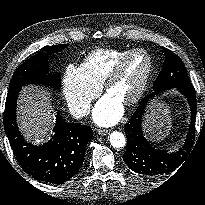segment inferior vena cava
<instances>
[{"instance_id": "1", "label": "inferior vena cava", "mask_w": 205, "mask_h": 205, "mask_svg": "<svg viewBox=\"0 0 205 205\" xmlns=\"http://www.w3.org/2000/svg\"><path fill=\"white\" fill-rule=\"evenodd\" d=\"M89 112H90V104L88 103H82V104L76 105L71 109V115L76 119L82 118L88 115Z\"/></svg>"}]
</instances>
